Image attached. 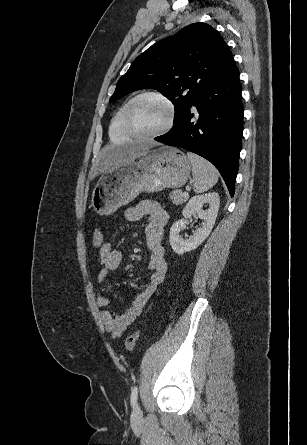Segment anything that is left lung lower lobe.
<instances>
[{"mask_svg": "<svg viewBox=\"0 0 307 445\" xmlns=\"http://www.w3.org/2000/svg\"><path fill=\"white\" fill-rule=\"evenodd\" d=\"M197 108L195 121L190 109ZM243 105L238 69L232 60L221 76L192 103L172 129L156 141L179 146L210 161L233 197L243 131Z\"/></svg>", "mask_w": 307, "mask_h": 445, "instance_id": "left-lung-lower-lobe-1", "label": "left lung lower lobe"}]
</instances>
